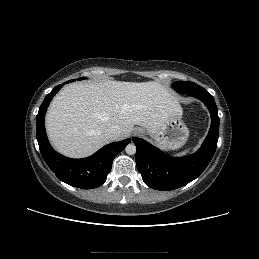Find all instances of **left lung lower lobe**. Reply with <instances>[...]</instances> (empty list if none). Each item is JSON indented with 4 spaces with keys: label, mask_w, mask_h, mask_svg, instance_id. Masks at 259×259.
Listing matches in <instances>:
<instances>
[{
    "label": "left lung lower lobe",
    "mask_w": 259,
    "mask_h": 259,
    "mask_svg": "<svg viewBox=\"0 0 259 259\" xmlns=\"http://www.w3.org/2000/svg\"><path fill=\"white\" fill-rule=\"evenodd\" d=\"M188 94L204 102L211 114L210 130L196 153L174 158L165 155L143 139L133 138L137 147L135 156L137 169L144 183L153 189L173 190L193 181L205 170L216 151L219 117L214 98L205 89Z\"/></svg>",
    "instance_id": "1"
}]
</instances>
